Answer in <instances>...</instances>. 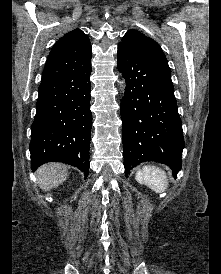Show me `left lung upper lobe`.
I'll list each match as a JSON object with an SVG mask.
<instances>
[{"label": "left lung upper lobe", "instance_id": "1", "mask_svg": "<svg viewBox=\"0 0 221 274\" xmlns=\"http://www.w3.org/2000/svg\"><path fill=\"white\" fill-rule=\"evenodd\" d=\"M119 46L136 53L152 63L170 69L159 44L137 30H129L123 36Z\"/></svg>", "mask_w": 221, "mask_h": 274}]
</instances>
